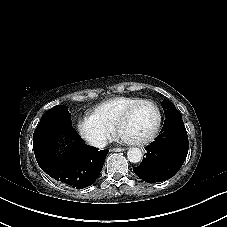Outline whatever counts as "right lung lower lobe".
<instances>
[{
  "instance_id": "1",
  "label": "right lung lower lobe",
  "mask_w": 227,
  "mask_h": 227,
  "mask_svg": "<svg viewBox=\"0 0 227 227\" xmlns=\"http://www.w3.org/2000/svg\"><path fill=\"white\" fill-rule=\"evenodd\" d=\"M61 130L45 127L35 130L33 146L38 165L53 179L72 188L82 189L92 185L98 178L108 150H98L81 142V139L67 141L62 155L54 154L56 137Z\"/></svg>"
}]
</instances>
